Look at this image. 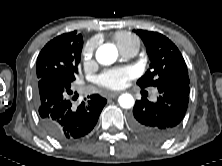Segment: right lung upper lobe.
<instances>
[{"mask_svg": "<svg viewBox=\"0 0 222 166\" xmlns=\"http://www.w3.org/2000/svg\"><path fill=\"white\" fill-rule=\"evenodd\" d=\"M69 34L70 33L62 34V35L54 38L53 40H51V42H57V41L65 40L69 36Z\"/></svg>", "mask_w": 222, "mask_h": 166, "instance_id": "1", "label": "right lung upper lobe"}]
</instances>
